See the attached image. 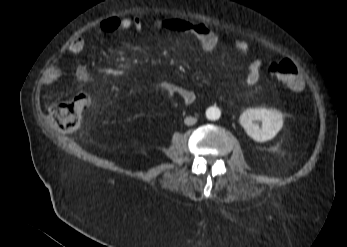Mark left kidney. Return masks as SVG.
<instances>
[{"label":"left kidney","instance_id":"5707ae66","mask_svg":"<svg viewBox=\"0 0 347 247\" xmlns=\"http://www.w3.org/2000/svg\"><path fill=\"white\" fill-rule=\"evenodd\" d=\"M257 121H262L261 128ZM245 132L257 142L273 139L283 126V116L272 108H249L240 115Z\"/></svg>","mask_w":347,"mask_h":247}]
</instances>
